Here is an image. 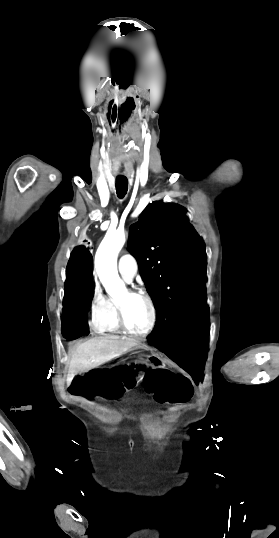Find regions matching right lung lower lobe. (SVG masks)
Returning a JSON list of instances; mask_svg holds the SVG:
<instances>
[{"instance_id":"right-lung-lower-lobe-1","label":"right lung lower lobe","mask_w":279,"mask_h":538,"mask_svg":"<svg viewBox=\"0 0 279 538\" xmlns=\"http://www.w3.org/2000/svg\"><path fill=\"white\" fill-rule=\"evenodd\" d=\"M93 258L84 246L76 247L66 269L64 288L62 335L76 339L89 333L87 306L93 298Z\"/></svg>"}]
</instances>
